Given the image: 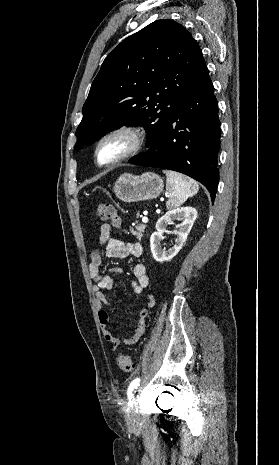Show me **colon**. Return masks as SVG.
<instances>
[{"label": "colon", "instance_id": "1", "mask_svg": "<svg viewBox=\"0 0 279 465\" xmlns=\"http://www.w3.org/2000/svg\"><path fill=\"white\" fill-rule=\"evenodd\" d=\"M97 216L103 221H110L114 227H119L121 219L117 214L115 207L111 204L100 203L97 206ZM118 367L121 371L130 373L134 370V362L129 355L120 354L117 357Z\"/></svg>", "mask_w": 279, "mask_h": 465}]
</instances>
